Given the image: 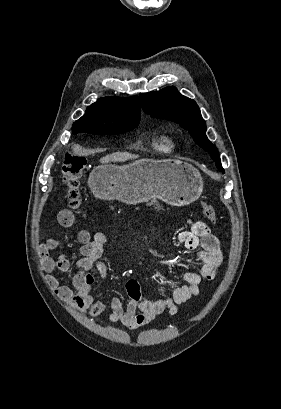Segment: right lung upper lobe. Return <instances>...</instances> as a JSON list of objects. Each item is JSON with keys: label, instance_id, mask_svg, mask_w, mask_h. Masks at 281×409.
Wrapping results in <instances>:
<instances>
[{"label": "right lung upper lobe", "instance_id": "1", "mask_svg": "<svg viewBox=\"0 0 281 409\" xmlns=\"http://www.w3.org/2000/svg\"><path fill=\"white\" fill-rule=\"evenodd\" d=\"M140 104L137 96L101 98L90 105L85 114L74 122L72 130L81 127H128L138 125Z\"/></svg>", "mask_w": 281, "mask_h": 409}]
</instances>
